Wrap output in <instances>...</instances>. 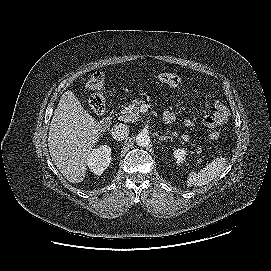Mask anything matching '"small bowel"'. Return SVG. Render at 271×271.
Here are the masks:
<instances>
[{
  "label": "small bowel",
  "mask_w": 271,
  "mask_h": 271,
  "mask_svg": "<svg viewBox=\"0 0 271 271\" xmlns=\"http://www.w3.org/2000/svg\"><path fill=\"white\" fill-rule=\"evenodd\" d=\"M228 119V110L226 106L220 101H215L213 104V111L203 116L202 124L207 128H213L221 126ZM165 123H173L176 120V115L172 111H166L163 115ZM185 125L192 127L195 125V121L191 118L185 120Z\"/></svg>",
  "instance_id": "1"
}]
</instances>
